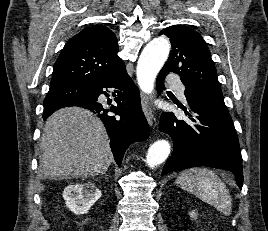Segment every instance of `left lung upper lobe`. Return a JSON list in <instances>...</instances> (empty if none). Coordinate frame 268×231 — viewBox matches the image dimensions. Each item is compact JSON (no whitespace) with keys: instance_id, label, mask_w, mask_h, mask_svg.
<instances>
[{"instance_id":"1","label":"left lung upper lobe","mask_w":268,"mask_h":231,"mask_svg":"<svg viewBox=\"0 0 268 231\" xmlns=\"http://www.w3.org/2000/svg\"><path fill=\"white\" fill-rule=\"evenodd\" d=\"M161 34L170 38L172 46L170 56L161 71L166 74L177 73L186 87V93L231 118L217 81L210 51L201 35L181 25L169 26L159 35Z\"/></svg>"}]
</instances>
